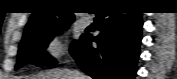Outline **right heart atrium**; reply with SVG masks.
Here are the masks:
<instances>
[{
	"instance_id": "right-heart-atrium-1",
	"label": "right heart atrium",
	"mask_w": 177,
	"mask_h": 79,
	"mask_svg": "<svg viewBox=\"0 0 177 79\" xmlns=\"http://www.w3.org/2000/svg\"><path fill=\"white\" fill-rule=\"evenodd\" d=\"M66 50V40L63 34L54 33L45 43V52L51 59L59 60Z\"/></svg>"
}]
</instances>
